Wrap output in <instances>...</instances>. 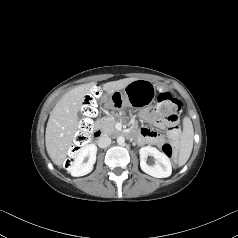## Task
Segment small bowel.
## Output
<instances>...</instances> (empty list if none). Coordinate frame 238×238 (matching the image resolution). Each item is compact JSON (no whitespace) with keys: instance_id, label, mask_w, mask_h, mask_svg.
<instances>
[{"instance_id":"1","label":"small bowel","mask_w":238,"mask_h":238,"mask_svg":"<svg viewBox=\"0 0 238 238\" xmlns=\"http://www.w3.org/2000/svg\"><path fill=\"white\" fill-rule=\"evenodd\" d=\"M142 117L145 120L151 121L152 125L163 129L167 127L166 136L157 134L149 129H141L137 138L141 144H149L157 147H162L165 143H170L172 146H178L181 142L180 128L176 123H166L164 117L157 114L151 115L149 112H143Z\"/></svg>"}]
</instances>
